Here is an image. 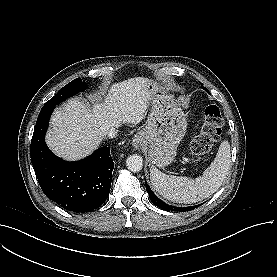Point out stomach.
<instances>
[{"label": "stomach", "mask_w": 277, "mask_h": 277, "mask_svg": "<svg viewBox=\"0 0 277 277\" xmlns=\"http://www.w3.org/2000/svg\"><path fill=\"white\" fill-rule=\"evenodd\" d=\"M148 86L154 91L150 101L151 112L138 136L151 163L165 167L175 159L177 148L186 133L187 120L174 97L164 91L159 83L149 80Z\"/></svg>", "instance_id": "0dacf381"}]
</instances>
